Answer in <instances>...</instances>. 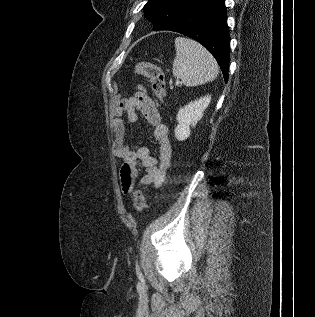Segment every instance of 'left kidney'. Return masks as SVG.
Instances as JSON below:
<instances>
[{
	"mask_svg": "<svg viewBox=\"0 0 315 317\" xmlns=\"http://www.w3.org/2000/svg\"><path fill=\"white\" fill-rule=\"evenodd\" d=\"M210 101L211 96L207 95L180 108L177 114L178 125L175 128V137L179 141H183L190 136V127L196 126L197 122L201 120Z\"/></svg>",
	"mask_w": 315,
	"mask_h": 317,
	"instance_id": "obj_1",
	"label": "left kidney"
}]
</instances>
